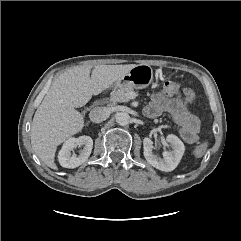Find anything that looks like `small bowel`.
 <instances>
[{
	"label": "small bowel",
	"mask_w": 241,
	"mask_h": 241,
	"mask_svg": "<svg viewBox=\"0 0 241 241\" xmlns=\"http://www.w3.org/2000/svg\"><path fill=\"white\" fill-rule=\"evenodd\" d=\"M195 99L190 89L184 90V99L169 98L163 93L154 94L145 112L150 117H157L162 113H169L180 127V135L187 143H194L198 139L199 120L192 114L187 105Z\"/></svg>",
	"instance_id": "small-bowel-1"
}]
</instances>
